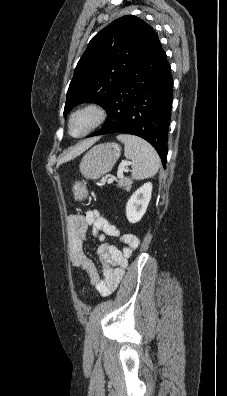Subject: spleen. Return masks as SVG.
I'll list each match as a JSON object with an SVG mask.
<instances>
[{
    "label": "spleen",
    "instance_id": "1",
    "mask_svg": "<svg viewBox=\"0 0 227 396\" xmlns=\"http://www.w3.org/2000/svg\"><path fill=\"white\" fill-rule=\"evenodd\" d=\"M117 139L125 146V157L131 160L133 179L151 178L158 172L160 158L156 150L148 142L129 134L118 135Z\"/></svg>",
    "mask_w": 227,
    "mask_h": 396
}]
</instances>
